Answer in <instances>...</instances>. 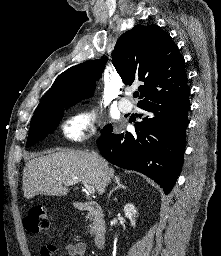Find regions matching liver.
Returning <instances> with one entry per match:
<instances>
[{"mask_svg": "<svg viewBox=\"0 0 221 256\" xmlns=\"http://www.w3.org/2000/svg\"><path fill=\"white\" fill-rule=\"evenodd\" d=\"M114 169L101 157L86 151H60L31 159L23 170V192L26 199L36 195H67L64 182L78 179L105 192L104 177H113Z\"/></svg>", "mask_w": 221, "mask_h": 256, "instance_id": "1", "label": "liver"}]
</instances>
